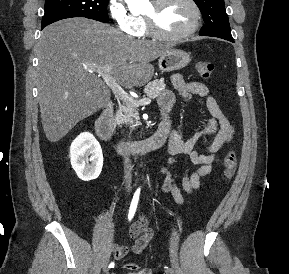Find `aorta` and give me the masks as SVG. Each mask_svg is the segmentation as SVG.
<instances>
[{
  "instance_id": "762f6f07",
  "label": "aorta",
  "mask_w": 289,
  "mask_h": 274,
  "mask_svg": "<svg viewBox=\"0 0 289 274\" xmlns=\"http://www.w3.org/2000/svg\"><path fill=\"white\" fill-rule=\"evenodd\" d=\"M125 1L131 8L135 9L141 8L148 2V0H125Z\"/></svg>"
}]
</instances>
